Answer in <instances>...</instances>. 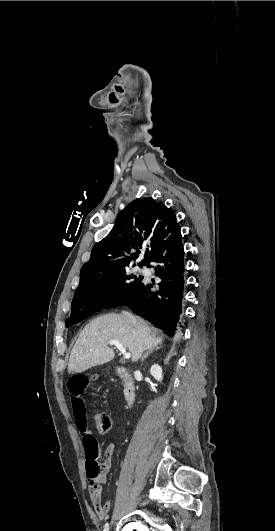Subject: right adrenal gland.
Listing matches in <instances>:
<instances>
[{"mask_svg": "<svg viewBox=\"0 0 275 531\" xmlns=\"http://www.w3.org/2000/svg\"><path fill=\"white\" fill-rule=\"evenodd\" d=\"M157 349H160V347H155V349H149V351H146V353H144L141 361H145V359H147V357H149V355H151V353H154V351H157Z\"/></svg>", "mask_w": 275, "mask_h": 531, "instance_id": "right-adrenal-gland-1", "label": "right adrenal gland"}]
</instances>
